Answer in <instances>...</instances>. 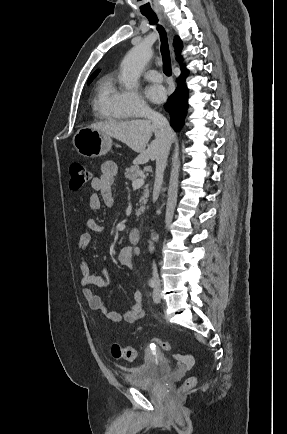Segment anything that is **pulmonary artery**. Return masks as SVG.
<instances>
[{
	"mask_svg": "<svg viewBox=\"0 0 287 434\" xmlns=\"http://www.w3.org/2000/svg\"><path fill=\"white\" fill-rule=\"evenodd\" d=\"M144 75L148 80L156 81V82L161 81L163 78L160 72L153 69L146 71Z\"/></svg>",
	"mask_w": 287,
	"mask_h": 434,
	"instance_id": "obj_1",
	"label": "pulmonary artery"
}]
</instances>
